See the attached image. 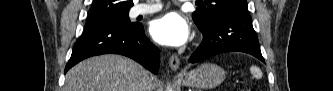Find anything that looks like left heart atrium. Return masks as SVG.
Listing matches in <instances>:
<instances>
[{"label":"left heart atrium","mask_w":333,"mask_h":91,"mask_svg":"<svg viewBox=\"0 0 333 91\" xmlns=\"http://www.w3.org/2000/svg\"><path fill=\"white\" fill-rule=\"evenodd\" d=\"M149 31L157 43L171 47L184 45L190 36L188 22L175 12L153 20Z\"/></svg>","instance_id":"left-heart-atrium-1"}]
</instances>
